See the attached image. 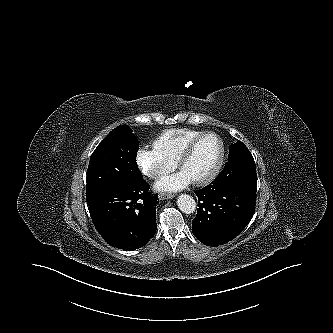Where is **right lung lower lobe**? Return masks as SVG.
<instances>
[{
	"mask_svg": "<svg viewBox=\"0 0 333 333\" xmlns=\"http://www.w3.org/2000/svg\"><path fill=\"white\" fill-rule=\"evenodd\" d=\"M143 178L86 198L95 228L112 247L125 251L144 246L155 234L158 195Z\"/></svg>",
	"mask_w": 333,
	"mask_h": 333,
	"instance_id": "98d812e1",
	"label": "right lung lower lobe"
}]
</instances>
